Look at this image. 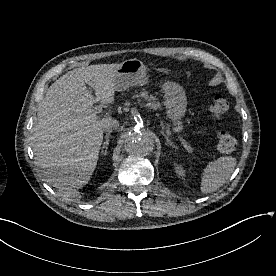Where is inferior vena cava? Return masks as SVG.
Masks as SVG:
<instances>
[{
  "instance_id": "inferior-vena-cava-1",
  "label": "inferior vena cava",
  "mask_w": 276,
  "mask_h": 276,
  "mask_svg": "<svg viewBox=\"0 0 276 276\" xmlns=\"http://www.w3.org/2000/svg\"><path fill=\"white\" fill-rule=\"evenodd\" d=\"M118 127H119V121L115 119H109L104 123L103 130L106 132H112V130L118 129Z\"/></svg>"
}]
</instances>
